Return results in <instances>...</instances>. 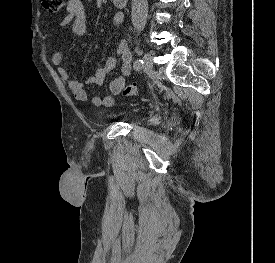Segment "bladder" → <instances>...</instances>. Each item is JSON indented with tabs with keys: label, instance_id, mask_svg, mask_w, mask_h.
<instances>
[{
	"label": "bladder",
	"instance_id": "bladder-1",
	"mask_svg": "<svg viewBox=\"0 0 275 263\" xmlns=\"http://www.w3.org/2000/svg\"><path fill=\"white\" fill-rule=\"evenodd\" d=\"M132 115H133V112L131 111L110 110L102 113L100 115V118L102 120L108 121V120H115L120 118H127V117H131Z\"/></svg>",
	"mask_w": 275,
	"mask_h": 263
}]
</instances>
